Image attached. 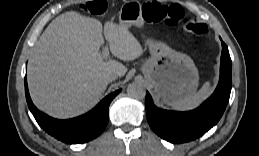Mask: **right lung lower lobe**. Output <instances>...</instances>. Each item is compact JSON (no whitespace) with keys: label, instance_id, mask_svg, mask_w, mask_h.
Segmentation results:
<instances>
[{"label":"right lung lower lobe","instance_id":"right-lung-lower-lobe-1","mask_svg":"<svg viewBox=\"0 0 259 156\" xmlns=\"http://www.w3.org/2000/svg\"><path fill=\"white\" fill-rule=\"evenodd\" d=\"M121 89L106 96L93 110L80 117L58 120L40 112L32 103L27 80L25 78V94L30 111L38 124L50 135L65 143L78 144L88 142L99 136L105 129L109 114L108 108L113 98Z\"/></svg>","mask_w":259,"mask_h":156}]
</instances>
